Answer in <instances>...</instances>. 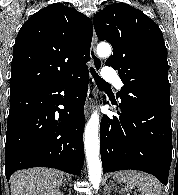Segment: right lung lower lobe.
Instances as JSON below:
<instances>
[{
	"mask_svg": "<svg viewBox=\"0 0 178 195\" xmlns=\"http://www.w3.org/2000/svg\"><path fill=\"white\" fill-rule=\"evenodd\" d=\"M88 83L86 68L60 83L10 93L5 145L7 180L15 171L31 167L80 174L84 164L83 110Z\"/></svg>",
	"mask_w": 178,
	"mask_h": 195,
	"instance_id": "98d812e1",
	"label": "right lung lower lobe"
}]
</instances>
